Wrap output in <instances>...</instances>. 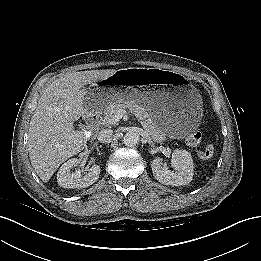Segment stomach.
<instances>
[{
	"instance_id": "stomach-1",
	"label": "stomach",
	"mask_w": 261,
	"mask_h": 261,
	"mask_svg": "<svg viewBox=\"0 0 261 261\" xmlns=\"http://www.w3.org/2000/svg\"><path fill=\"white\" fill-rule=\"evenodd\" d=\"M103 82L88 90L86 108L101 111L114 101L133 100L145 107L161 131L172 138L186 137L199 125L200 94L177 73L127 68L116 71Z\"/></svg>"
}]
</instances>
